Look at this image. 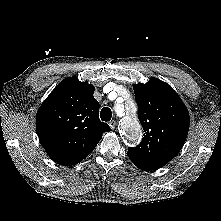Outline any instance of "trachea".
Returning a JSON list of instances; mask_svg holds the SVG:
<instances>
[{
    "instance_id": "trachea-1",
    "label": "trachea",
    "mask_w": 221,
    "mask_h": 221,
    "mask_svg": "<svg viewBox=\"0 0 221 221\" xmlns=\"http://www.w3.org/2000/svg\"><path fill=\"white\" fill-rule=\"evenodd\" d=\"M100 117L102 121L108 122L111 120L112 117V112L110 110V108L108 107H104L102 108L101 112H100Z\"/></svg>"
}]
</instances>
